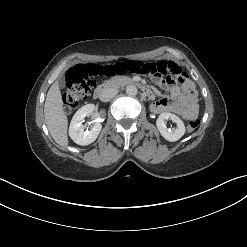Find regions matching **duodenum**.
Segmentation results:
<instances>
[{"instance_id":"duodenum-1","label":"duodenum","mask_w":247,"mask_h":247,"mask_svg":"<svg viewBox=\"0 0 247 247\" xmlns=\"http://www.w3.org/2000/svg\"><path fill=\"white\" fill-rule=\"evenodd\" d=\"M121 85H132V86H138L141 92L146 95L150 96L151 95V90L147 88L144 85L139 84V82L135 79H112L106 82H103L100 84L93 93V96L95 99L102 100L105 94L107 93L108 90L111 88L121 86Z\"/></svg>"}]
</instances>
